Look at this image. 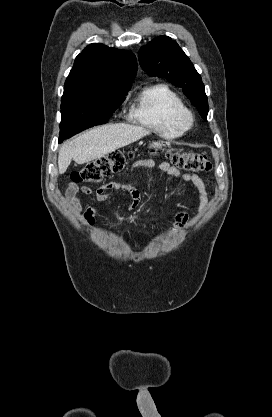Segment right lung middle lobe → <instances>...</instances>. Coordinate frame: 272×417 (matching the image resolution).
<instances>
[{"label":"right lung middle lobe","instance_id":"right-lung-middle-lobe-1","mask_svg":"<svg viewBox=\"0 0 272 417\" xmlns=\"http://www.w3.org/2000/svg\"><path fill=\"white\" fill-rule=\"evenodd\" d=\"M128 91L129 89L115 90L89 97L61 100L59 143L82 130L107 123L124 101Z\"/></svg>","mask_w":272,"mask_h":417}]
</instances>
